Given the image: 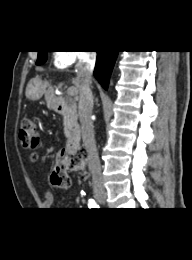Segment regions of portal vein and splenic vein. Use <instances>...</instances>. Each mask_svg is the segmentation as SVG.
Returning <instances> with one entry per match:
<instances>
[{
	"label": "portal vein and splenic vein",
	"instance_id": "1",
	"mask_svg": "<svg viewBox=\"0 0 192 260\" xmlns=\"http://www.w3.org/2000/svg\"><path fill=\"white\" fill-rule=\"evenodd\" d=\"M67 94H68V96H75V95H77L76 88H74V87L69 88L68 91H67Z\"/></svg>",
	"mask_w": 192,
	"mask_h": 260
}]
</instances>
